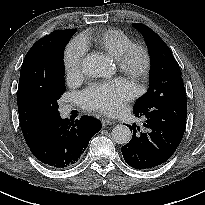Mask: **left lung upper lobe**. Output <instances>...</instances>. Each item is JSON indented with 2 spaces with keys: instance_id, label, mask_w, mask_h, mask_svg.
<instances>
[{
  "instance_id": "5c2ea615",
  "label": "left lung upper lobe",
  "mask_w": 205,
  "mask_h": 205,
  "mask_svg": "<svg viewBox=\"0 0 205 205\" xmlns=\"http://www.w3.org/2000/svg\"><path fill=\"white\" fill-rule=\"evenodd\" d=\"M133 26L142 33L146 41L151 63L148 91L136 101L133 112H142L153 104L174 96L186 97L180 67L169 47L144 24L134 23Z\"/></svg>"
}]
</instances>
